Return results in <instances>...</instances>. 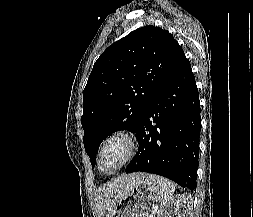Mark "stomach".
<instances>
[{
	"mask_svg": "<svg viewBox=\"0 0 253 217\" xmlns=\"http://www.w3.org/2000/svg\"><path fill=\"white\" fill-rule=\"evenodd\" d=\"M156 201L157 186L144 174L132 189L118 200L113 217H149Z\"/></svg>",
	"mask_w": 253,
	"mask_h": 217,
	"instance_id": "stomach-1",
	"label": "stomach"
}]
</instances>
